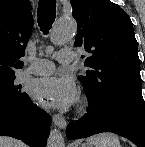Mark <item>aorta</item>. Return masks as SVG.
I'll list each match as a JSON object with an SVG mask.
<instances>
[{"mask_svg": "<svg viewBox=\"0 0 145 147\" xmlns=\"http://www.w3.org/2000/svg\"><path fill=\"white\" fill-rule=\"evenodd\" d=\"M77 25L73 20H59L51 35V41L56 45H62L69 41L76 31ZM47 147H65L64 138L59 130L50 132Z\"/></svg>", "mask_w": 145, "mask_h": 147, "instance_id": "762f6f07", "label": "aorta"}]
</instances>
